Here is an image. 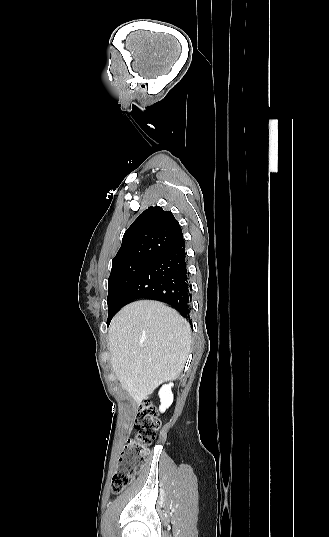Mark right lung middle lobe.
Segmentation results:
<instances>
[{
    "instance_id": "right-lung-middle-lobe-1",
    "label": "right lung middle lobe",
    "mask_w": 329,
    "mask_h": 537,
    "mask_svg": "<svg viewBox=\"0 0 329 537\" xmlns=\"http://www.w3.org/2000/svg\"><path fill=\"white\" fill-rule=\"evenodd\" d=\"M150 263L149 260L131 261L111 271L108 279L107 323L121 307L124 293Z\"/></svg>"
}]
</instances>
